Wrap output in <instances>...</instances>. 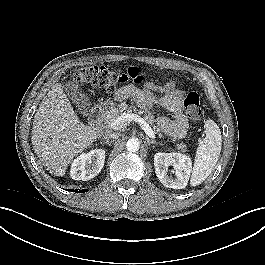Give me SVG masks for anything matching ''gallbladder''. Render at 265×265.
Instances as JSON below:
<instances>
[{"label":"gallbladder","instance_id":"1","mask_svg":"<svg viewBox=\"0 0 265 265\" xmlns=\"http://www.w3.org/2000/svg\"><path fill=\"white\" fill-rule=\"evenodd\" d=\"M65 90L72 103L81 109L82 115L88 116L91 102L89 97L80 89L78 84L73 81H68L65 84Z\"/></svg>","mask_w":265,"mask_h":265}]
</instances>
